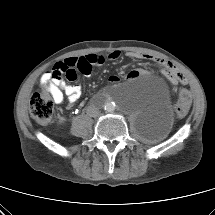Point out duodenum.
<instances>
[{
    "label": "duodenum",
    "instance_id": "1",
    "mask_svg": "<svg viewBox=\"0 0 215 215\" xmlns=\"http://www.w3.org/2000/svg\"><path fill=\"white\" fill-rule=\"evenodd\" d=\"M105 100H107V99H106V98H102V99L99 101V103L102 102V101H105Z\"/></svg>",
    "mask_w": 215,
    "mask_h": 215
}]
</instances>
